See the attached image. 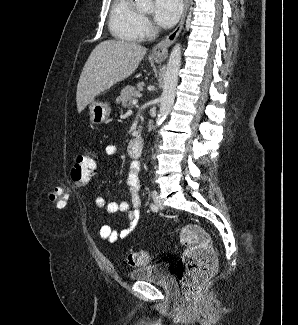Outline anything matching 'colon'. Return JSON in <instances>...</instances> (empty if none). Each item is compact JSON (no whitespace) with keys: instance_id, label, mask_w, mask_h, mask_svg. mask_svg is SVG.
<instances>
[{"instance_id":"5ec220e1","label":"colon","mask_w":298,"mask_h":325,"mask_svg":"<svg viewBox=\"0 0 298 325\" xmlns=\"http://www.w3.org/2000/svg\"><path fill=\"white\" fill-rule=\"evenodd\" d=\"M97 154L87 149L80 153L71 169L73 188L86 186L96 168ZM64 188L55 189L50 193V200L55 204L64 205L69 197ZM180 241L185 247L177 266V278L183 294L192 299L209 282L217 268V261L208 233L198 225L190 224L182 228ZM150 254L145 250H137L127 255L129 266L136 267L149 263Z\"/></svg>"}]
</instances>
